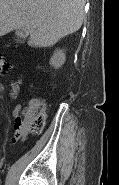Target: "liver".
Here are the masks:
<instances>
[{
    "mask_svg": "<svg viewBox=\"0 0 119 185\" xmlns=\"http://www.w3.org/2000/svg\"><path fill=\"white\" fill-rule=\"evenodd\" d=\"M86 0H0V36L24 29L28 44L49 47L78 31Z\"/></svg>",
    "mask_w": 119,
    "mask_h": 185,
    "instance_id": "1",
    "label": "liver"
}]
</instances>
